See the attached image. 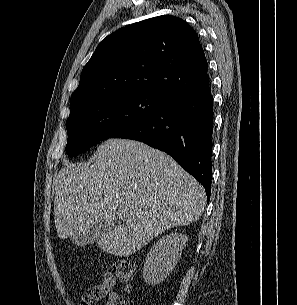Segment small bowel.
Masks as SVG:
<instances>
[{
  "label": "small bowel",
  "instance_id": "c3829d8e",
  "mask_svg": "<svg viewBox=\"0 0 297 305\" xmlns=\"http://www.w3.org/2000/svg\"><path fill=\"white\" fill-rule=\"evenodd\" d=\"M115 279L111 274H106L102 283L87 290L80 305H93L105 299L103 305H118L120 293L113 290Z\"/></svg>",
  "mask_w": 297,
  "mask_h": 305
}]
</instances>
